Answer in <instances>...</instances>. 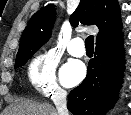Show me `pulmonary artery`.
Instances as JSON below:
<instances>
[{
  "mask_svg": "<svg viewBox=\"0 0 131 115\" xmlns=\"http://www.w3.org/2000/svg\"><path fill=\"white\" fill-rule=\"evenodd\" d=\"M68 52L74 57H82L85 53L82 39L79 37L73 38L69 42Z\"/></svg>",
  "mask_w": 131,
  "mask_h": 115,
  "instance_id": "obj_1",
  "label": "pulmonary artery"
}]
</instances>
